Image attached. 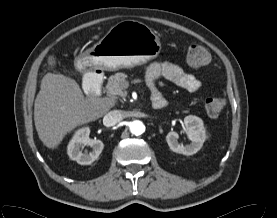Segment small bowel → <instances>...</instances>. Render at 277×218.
Here are the masks:
<instances>
[{
    "mask_svg": "<svg viewBox=\"0 0 277 218\" xmlns=\"http://www.w3.org/2000/svg\"><path fill=\"white\" fill-rule=\"evenodd\" d=\"M164 77L179 87L189 91L196 92L201 87V82L193 74L187 73L179 65L170 62H154L147 69L146 83L151 91L152 103L154 100L162 97L157 89V80ZM165 102V100H164Z\"/></svg>",
    "mask_w": 277,
    "mask_h": 218,
    "instance_id": "obj_1",
    "label": "small bowel"
}]
</instances>
